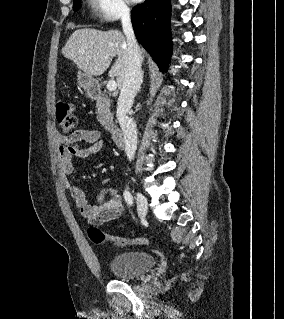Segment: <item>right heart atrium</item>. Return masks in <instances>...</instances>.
Masks as SVG:
<instances>
[{
	"label": "right heart atrium",
	"mask_w": 284,
	"mask_h": 319,
	"mask_svg": "<svg viewBox=\"0 0 284 319\" xmlns=\"http://www.w3.org/2000/svg\"><path fill=\"white\" fill-rule=\"evenodd\" d=\"M95 16L103 23L125 19L130 14L126 0H90Z\"/></svg>",
	"instance_id": "1"
}]
</instances>
